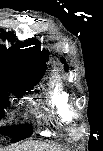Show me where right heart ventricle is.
I'll return each instance as SVG.
<instances>
[{"label": "right heart ventricle", "instance_id": "e07e8e85", "mask_svg": "<svg viewBox=\"0 0 103 151\" xmlns=\"http://www.w3.org/2000/svg\"><path fill=\"white\" fill-rule=\"evenodd\" d=\"M44 100L48 117L51 120V127L42 133L50 136L59 131L71 119L69 114L71 107L70 95L60 80L53 78L49 82Z\"/></svg>", "mask_w": 103, "mask_h": 151}]
</instances>
